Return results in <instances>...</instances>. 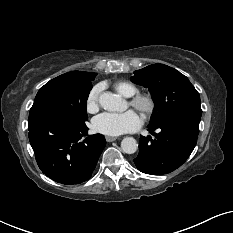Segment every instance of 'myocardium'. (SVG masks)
I'll return each mask as SVG.
<instances>
[{"mask_svg": "<svg viewBox=\"0 0 233 233\" xmlns=\"http://www.w3.org/2000/svg\"><path fill=\"white\" fill-rule=\"evenodd\" d=\"M129 105L136 109L144 119L152 116L155 110V99L150 93H137L129 100Z\"/></svg>", "mask_w": 233, "mask_h": 233, "instance_id": "f54148a6", "label": "myocardium"}]
</instances>
